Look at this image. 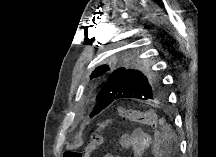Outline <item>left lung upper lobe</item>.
<instances>
[{"label":"left lung upper lobe","instance_id":"5c2ea615","mask_svg":"<svg viewBox=\"0 0 216 157\" xmlns=\"http://www.w3.org/2000/svg\"><path fill=\"white\" fill-rule=\"evenodd\" d=\"M119 54L112 59V64H102L90 76L106 78L96 97L97 104H111L123 99L150 101L160 98L163 84L154 72L146 69V64H124L125 61H137V51H120Z\"/></svg>","mask_w":216,"mask_h":157}]
</instances>
